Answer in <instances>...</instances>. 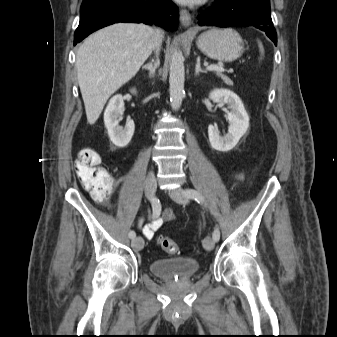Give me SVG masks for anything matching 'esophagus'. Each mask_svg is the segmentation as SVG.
Instances as JSON below:
<instances>
[{"mask_svg":"<svg viewBox=\"0 0 337 337\" xmlns=\"http://www.w3.org/2000/svg\"><path fill=\"white\" fill-rule=\"evenodd\" d=\"M180 21L183 27L188 28L190 26L191 15L187 10L185 9L180 10Z\"/></svg>","mask_w":337,"mask_h":337,"instance_id":"1","label":"esophagus"}]
</instances>
